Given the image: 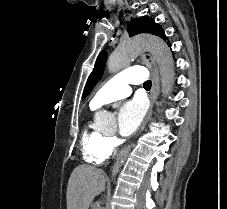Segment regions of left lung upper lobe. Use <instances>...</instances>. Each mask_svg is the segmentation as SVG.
I'll list each match as a JSON object with an SVG mask.
<instances>
[{"label":"left lung upper lobe","mask_w":227,"mask_h":209,"mask_svg":"<svg viewBox=\"0 0 227 209\" xmlns=\"http://www.w3.org/2000/svg\"><path fill=\"white\" fill-rule=\"evenodd\" d=\"M127 29H128L129 36H134L140 33H151L153 35H157L161 37L164 40H167V37L165 36L164 31L160 27V25L156 24L154 20L150 19V17L148 16H144L139 19H132L128 23ZM168 45H170L169 42H168ZM106 60H107V52L102 51L98 55L94 69L87 80L82 98H85L91 92L95 84L101 78L105 68Z\"/></svg>","instance_id":"obj_1"}]
</instances>
